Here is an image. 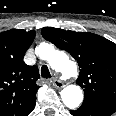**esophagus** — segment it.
Here are the masks:
<instances>
[{"label":"esophagus","mask_w":116,"mask_h":116,"mask_svg":"<svg viewBox=\"0 0 116 116\" xmlns=\"http://www.w3.org/2000/svg\"><path fill=\"white\" fill-rule=\"evenodd\" d=\"M52 83L56 88H59V89L65 86V84L58 78H53Z\"/></svg>","instance_id":"34e87169"}]
</instances>
